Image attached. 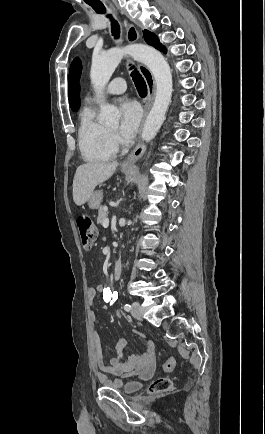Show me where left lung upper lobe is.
I'll use <instances>...</instances> for the list:
<instances>
[{
    "label": "left lung upper lobe",
    "mask_w": 265,
    "mask_h": 434,
    "mask_svg": "<svg viewBox=\"0 0 265 434\" xmlns=\"http://www.w3.org/2000/svg\"><path fill=\"white\" fill-rule=\"evenodd\" d=\"M143 38L147 44L155 47L156 49L162 52H166V49L163 46H161V44L158 41V38L153 33L149 32L148 30H145L143 34Z\"/></svg>",
    "instance_id": "1"
}]
</instances>
